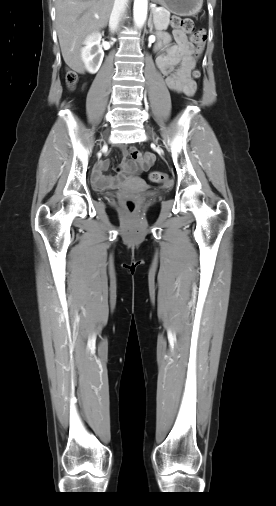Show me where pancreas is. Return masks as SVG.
Instances as JSON below:
<instances>
[{
    "label": "pancreas",
    "mask_w": 276,
    "mask_h": 506,
    "mask_svg": "<svg viewBox=\"0 0 276 506\" xmlns=\"http://www.w3.org/2000/svg\"><path fill=\"white\" fill-rule=\"evenodd\" d=\"M154 16V24L157 30H165L167 29L170 23V12L165 8H160L159 11H153Z\"/></svg>",
    "instance_id": "1"
}]
</instances>
